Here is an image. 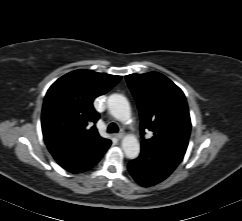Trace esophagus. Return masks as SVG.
Wrapping results in <instances>:
<instances>
[{
  "label": "esophagus",
  "instance_id": "34e87169",
  "mask_svg": "<svg viewBox=\"0 0 242 221\" xmlns=\"http://www.w3.org/2000/svg\"><path fill=\"white\" fill-rule=\"evenodd\" d=\"M115 137L119 140L122 139L124 137V132H119V133L115 134Z\"/></svg>",
  "mask_w": 242,
  "mask_h": 221
}]
</instances>
